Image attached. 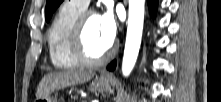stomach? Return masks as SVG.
I'll return each instance as SVG.
<instances>
[{"instance_id": "stomach-1", "label": "stomach", "mask_w": 221, "mask_h": 102, "mask_svg": "<svg viewBox=\"0 0 221 102\" xmlns=\"http://www.w3.org/2000/svg\"><path fill=\"white\" fill-rule=\"evenodd\" d=\"M113 81L110 78L104 76L97 77L89 86L91 92H110L112 90ZM37 102H58L56 99L47 97L40 98Z\"/></svg>"}]
</instances>
